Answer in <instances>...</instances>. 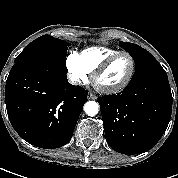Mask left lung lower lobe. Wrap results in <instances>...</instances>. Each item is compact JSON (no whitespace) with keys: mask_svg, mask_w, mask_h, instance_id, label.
Masks as SVG:
<instances>
[{"mask_svg":"<svg viewBox=\"0 0 178 178\" xmlns=\"http://www.w3.org/2000/svg\"><path fill=\"white\" fill-rule=\"evenodd\" d=\"M105 137L116 152L132 155L150 150L164 134L172 111L167 73L129 82L117 95L97 99Z\"/></svg>","mask_w":178,"mask_h":178,"instance_id":"1","label":"left lung lower lobe"}]
</instances>
